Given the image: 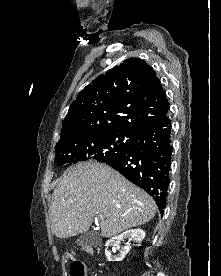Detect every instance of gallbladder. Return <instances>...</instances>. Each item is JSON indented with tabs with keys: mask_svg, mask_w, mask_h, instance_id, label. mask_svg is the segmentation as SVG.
I'll return each instance as SVG.
<instances>
[{
	"mask_svg": "<svg viewBox=\"0 0 221 276\" xmlns=\"http://www.w3.org/2000/svg\"><path fill=\"white\" fill-rule=\"evenodd\" d=\"M97 242V233L94 231L86 232L77 239V244L79 245H94L97 244Z\"/></svg>",
	"mask_w": 221,
	"mask_h": 276,
	"instance_id": "1",
	"label": "gallbladder"
}]
</instances>
